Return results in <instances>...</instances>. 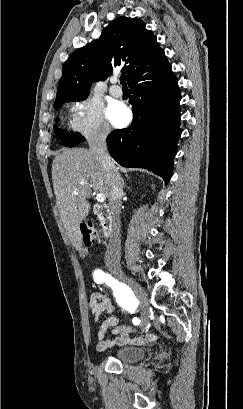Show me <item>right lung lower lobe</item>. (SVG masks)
Wrapping results in <instances>:
<instances>
[{"mask_svg":"<svg viewBox=\"0 0 243 409\" xmlns=\"http://www.w3.org/2000/svg\"><path fill=\"white\" fill-rule=\"evenodd\" d=\"M129 87L134 119L108 136L110 155L123 167L148 169L168 183L181 135L178 80L170 65Z\"/></svg>","mask_w":243,"mask_h":409,"instance_id":"98d812e1","label":"right lung lower lobe"}]
</instances>
